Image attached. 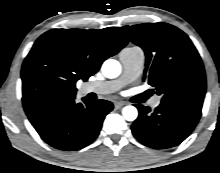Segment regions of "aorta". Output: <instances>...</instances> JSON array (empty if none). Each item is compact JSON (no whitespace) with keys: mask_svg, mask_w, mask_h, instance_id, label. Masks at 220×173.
<instances>
[{"mask_svg":"<svg viewBox=\"0 0 220 173\" xmlns=\"http://www.w3.org/2000/svg\"><path fill=\"white\" fill-rule=\"evenodd\" d=\"M102 73L105 77L113 79L120 75L121 65L117 60L107 59L102 65ZM122 115L127 121H134L138 116V111L134 106H125Z\"/></svg>","mask_w":220,"mask_h":173,"instance_id":"obj_1","label":"aorta"}]
</instances>
